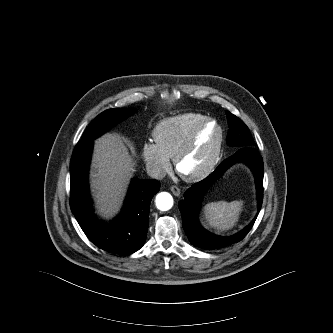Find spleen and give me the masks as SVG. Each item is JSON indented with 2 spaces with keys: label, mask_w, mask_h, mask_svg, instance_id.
<instances>
[{
  "label": "spleen",
  "mask_w": 333,
  "mask_h": 333,
  "mask_svg": "<svg viewBox=\"0 0 333 333\" xmlns=\"http://www.w3.org/2000/svg\"><path fill=\"white\" fill-rule=\"evenodd\" d=\"M243 201H217L204 206V215L209 226L218 231L233 228L239 220Z\"/></svg>",
  "instance_id": "obj_1"
}]
</instances>
